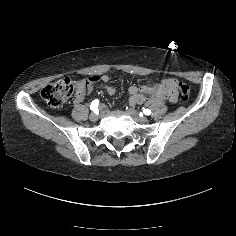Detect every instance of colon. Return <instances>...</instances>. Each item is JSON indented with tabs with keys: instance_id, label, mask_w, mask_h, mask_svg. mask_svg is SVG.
<instances>
[{
	"instance_id": "obj_1",
	"label": "colon",
	"mask_w": 236,
	"mask_h": 236,
	"mask_svg": "<svg viewBox=\"0 0 236 236\" xmlns=\"http://www.w3.org/2000/svg\"><path fill=\"white\" fill-rule=\"evenodd\" d=\"M90 80L76 82L70 78L60 79L44 87L41 91V97L51 108L59 109L70 97L82 92ZM177 87L182 99L187 100L190 95V87L184 82H179Z\"/></svg>"
}]
</instances>
